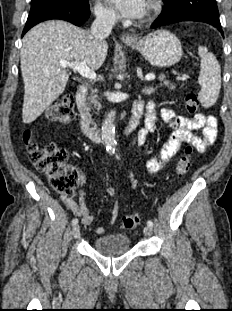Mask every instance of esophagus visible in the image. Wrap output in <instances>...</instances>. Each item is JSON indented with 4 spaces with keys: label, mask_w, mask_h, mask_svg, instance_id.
<instances>
[{
    "label": "esophagus",
    "mask_w": 232,
    "mask_h": 311,
    "mask_svg": "<svg viewBox=\"0 0 232 311\" xmlns=\"http://www.w3.org/2000/svg\"><path fill=\"white\" fill-rule=\"evenodd\" d=\"M121 40L122 41H137V37L129 35V34H122L121 35Z\"/></svg>",
    "instance_id": "esophagus-1"
}]
</instances>
